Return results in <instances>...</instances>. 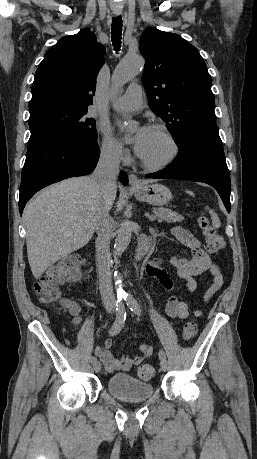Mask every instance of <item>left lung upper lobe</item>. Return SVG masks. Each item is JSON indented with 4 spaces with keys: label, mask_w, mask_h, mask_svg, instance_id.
Returning <instances> with one entry per match:
<instances>
[{
    "label": "left lung upper lobe",
    "mask_w": 257,
    "mask_h": 459,
    "mask_svg": "<svg viewBox=\"0 0 257 459\" xmlns=\"http://www.w3.org/2000/svg\"><path fill=\"white\" fill-rule=\"evenodd\" d=\"M142 82L149 107L169 126L179 148L197 126L216 123L211 76L198 50L177 34L145 30Z\"/></svg>",
    "instance_id": "5c2ea615"
}]
</instances>
